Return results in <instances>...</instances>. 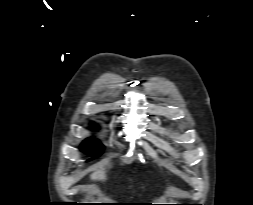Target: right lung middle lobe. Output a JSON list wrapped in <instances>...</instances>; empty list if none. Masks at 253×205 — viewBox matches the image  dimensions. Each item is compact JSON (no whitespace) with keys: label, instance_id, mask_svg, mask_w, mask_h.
<instances>
[{"label":"right lung middle lobe","instance_id":"obj_1","mask_svg":"<svg viewBox=\"0 0 253 205\" xmlns=\"http://www.w3.org/2000/svg\"><path fill=\"white\" fill-rule=\"evenodd\" d=\"M103 148V145L94 138H88L81 144V150L92 153L94 158L100 155V152L95 151H101Z\"/></svg>","mask_w":253,"mask_h":205}]
</instances>
